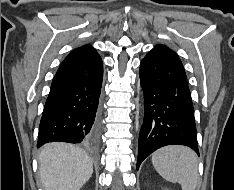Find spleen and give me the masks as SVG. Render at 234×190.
<instances>
[{"instance_id":"3e777b00","label":"spleen","mask_w":234,"mask_h":190,"mask_svg":"<svg viewBox=\"0 0 234 190\" xmlns=\"http://www.w3.org/2000/svg\"><path fill=\"white\" fill-rule=\"evenodd\" d=\"M152 164L161 177L179 183L182 190L196 189L198 162L192 149L178 145L163 147L152 154Z\"/></svg>"}]
</instances>
